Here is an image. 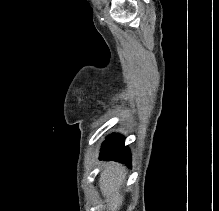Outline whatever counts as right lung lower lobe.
I'll return each mask as SVG.
<instances>
[{"label": "right lung lower lobe", "mask_w": 219, "mask_h": 211, "mask_svg": "<svg viewBox=\"0 0 219 211\" xmlns=\"http://www.w3.org/2000/svg\"><path fill=\"white\" fill-rule=\"evenodd\" d=\"M100 155V159L118 161L131 166L130 150L124 146V137L121 135L108 136L102 145Z\"/></svg>", "instance_id": "1"}]
</instances>
